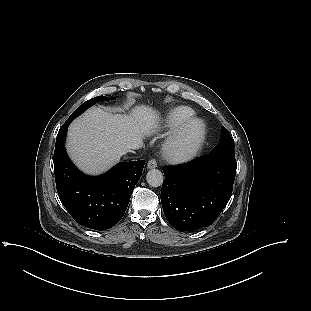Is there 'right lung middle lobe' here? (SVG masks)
Returning <instances> with one entry per match:
<instances>
[{
    "instance_id": "obj_1",
    "label": "right lung middle lobe",
    "mask_w": 311,
    "mask_h": 311,
    "mask_svg": "<svg viewBox=\"0 0 311 311\" xmlns=\"http://www.w3.org/2000/svg\"><path fill=\"white\" fill-rule=\"evenodd\" d=\"M101 101H109V98L106 96H98L95 98H92L86 102H84L81 106H79L68 118L69 121H72L75 117L79 116L81 113H83L86 109L94 105L96 102Z\"/></svg>"
}]
</instances>
